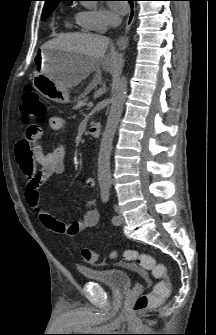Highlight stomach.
Instances as JSON below:
<instances>
[{
  "instance_id": "obj_1",
  "label": "stomach",
  "mask_w": 216,
  "mask_h": 335,
  "mask_svg": "<svg viewBox=\"0 0 216 335\" xmlns=\"http://www.w3.org/2000/svg\"><path fill=\"white\" fill-rule=\"evenodd\" d=\"M74 54L62 50L41 48L36 55V64L40 67L33 83L46 98L60 104L71 103L69 90L59 85L52 76L62 73L71 63Z\"/></svg>"
}]
</instances>
